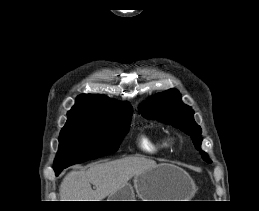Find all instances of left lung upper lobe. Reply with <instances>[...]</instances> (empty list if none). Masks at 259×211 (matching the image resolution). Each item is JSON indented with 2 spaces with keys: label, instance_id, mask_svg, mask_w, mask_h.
Wrapping results in <instances>:
<instances>
[{
  "label": "left lung upper lobe",
  "instance_id": "1",
  "mask_svg": "<svg viewBox=\"0 0 259 211\" xmlns=\"http://www.w3.org/2000/svg\"><path fill=\"white\" fill-rule=\"evenodd\" d=\"M140 112L145 118L157 119L171 124L190 135L196 149L203 154V159L211 162L207 154L200 148L202 131L200 126L194 121V111L191 107L181 102V95L176 89H170L151 97L141 105Z\"/></svg>",
  "mask_w": 259,
  "mask_h": 211
}]
</instances>
